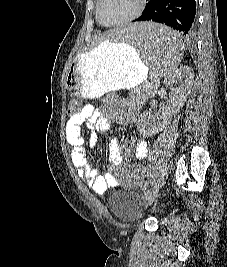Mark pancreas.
<instances>
[{"mask_svg": "<svg viewBox=\"0 0 227 267\" xmlns=\"http://www.w3.org/2000/svg\"><path fill=\"white\" fill-rule=\"evenodd\" d=\"M143 90L146 91V93H149L151 91V86H149V84L144 83L142 86Z\"/></svg>", "mask_w": 227, "mask_h": 267, "instance_id": "pancreas-1", "label": "pancreas"}]
</instances>
